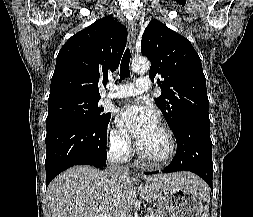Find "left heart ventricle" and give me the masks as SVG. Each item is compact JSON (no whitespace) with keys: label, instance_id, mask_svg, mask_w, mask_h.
<instances>
[{"label":"left heart ventricle","instance_id":"left-heart-ventricle-1","mask_svg":"<svg viewBox=\"0 0 253 217\" xmlns=\"http://www.w3.org/2000/svg\"><path fill=\"white\" fill-rule=\"evenodd\" d=\"M139 145L142 152L153 159L164 157L168 151L167 138L159 127H156Z\"/></svg>","mask_w":253,"mask_h":217}]
</instances>
